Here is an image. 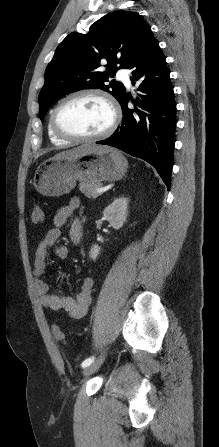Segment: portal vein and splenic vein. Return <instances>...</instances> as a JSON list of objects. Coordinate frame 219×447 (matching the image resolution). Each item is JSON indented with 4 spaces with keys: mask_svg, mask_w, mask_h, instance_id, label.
Instances as JSON below:
<instances>
[{
    "mask_svg": "<svg viewBox=\"0 0 219 447\" xmlns=\"http://www.w3.org/2000/svg\"><path fill=\"white\" fill-rule=\"evenodd\" d=\"M104 191H106L105 187L96 188V192H98V193H102Z\"/></svg>",
    "mask_w": 219,
    "mask_h": 447,
    "instance_id": "1",
    "label": "portal vein and splenic vein"
}]
</instances>
